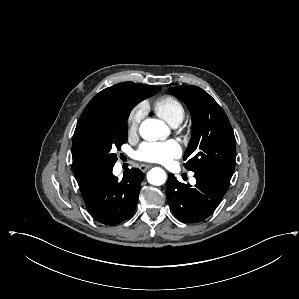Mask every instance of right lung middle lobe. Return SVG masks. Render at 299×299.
<instances>
[{
    "label": "right lung middle lobe",
    "mask_w": 299,
    "mask_h": 299,
    "mask_svg": "<svg viewBox=\"0 0 299 299\" xmlns=\"http://www.w3.org/2000/svg\"><path fill=\"white\" fill-rule=\"evenodd\" d=\"M160 89L158 86L145 92L142 99ZM132 108L119 106L110 110L73 138L72 155L78 185L114 166L117 161L115 149L120 150L128 139L126 120Z\"/></svg>",
    "instance_id": "obj_1"
}]
</instances>
